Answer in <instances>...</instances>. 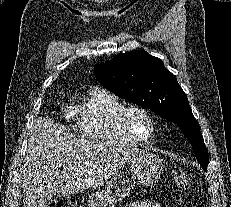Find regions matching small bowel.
Here are the masks:
<instances>
[{"label":"small bowel","instance_id":"c3829d8e","mask_svg":"<svg viewBox=\"0 0 231 207\" xmlns=\"http://www.w3.org/2000/svg\"><path fill=\"white\" fill-rule=\"evenodd\" d=\"M128 207H162L159 202L151 198H143L132 202Z\"/></svg>","mask_w":231,"mask_h":207}]
</instances>
